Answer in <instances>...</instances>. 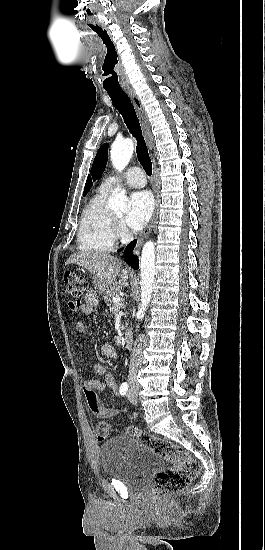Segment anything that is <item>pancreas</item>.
Listing matches in <instances>:
<instances>
[{"instance_id":"cf45deb5","label":"pancreas","mask_w":265,"mask_h":550,"mask_svg":"<svg viewBox=\"0 0 265 550\" xmlns=\"http://www.w3.org/2000/svg\"><path fill=\"white\" fill-rule=\"evenodd\" d=\"M120 291L121 289L117 284H114L112 287L107 289V291L104 294L105 303H107V305L110 306L111 303L113 302V299L119 296Z\"/></svg>"}]
</instances>
